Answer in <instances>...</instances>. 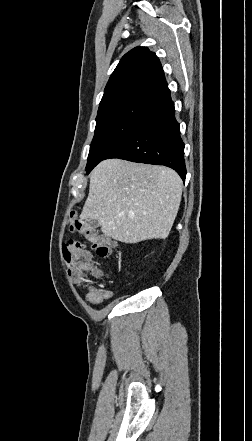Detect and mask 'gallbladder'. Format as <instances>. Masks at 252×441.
Wrapping results in <instances>:
<instances>
[{
    "label": "gallbladder",
    "instance_id": "bac80fb5",
    "mask_svg": "<svg viewBox=\"0 0 252 441\" xmlns=\"http://www.w3.org/2000/svg\"><path fill=\"white\" fill-rule=\"evenodd\" d=\"M86 226L90 229H96L100 226V223L97 220H88L86 221Z\"/></svg>",
    "mask_w": 252,
    "mask_h": 441
}]
</instances>
